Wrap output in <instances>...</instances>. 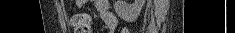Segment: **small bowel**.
<instances>
[{
  "instance_id": "1",
  "label": "small bowel",
  "mask_w": 235,
  "mask_h": 33,
  "mask_svg": "<svg viewBox=\"0 0 235 33\" xmlns=\"http://www.w3.org/2000/svg\"><path fill=\"white\" fill-rule=\"evenodd\" d=\"M84 1H81L83 3ZM95 7L101 17V19L105 22L107 27L110 30V33L114 31L117 25V19L115 15L109 11V3L107 0H97L95 2ZM122 33H127V31L124 29L122 30Z\"/></svg>"
}]
</instances>
